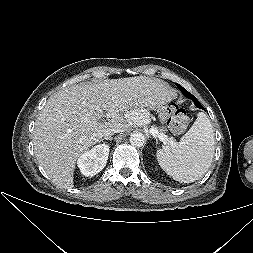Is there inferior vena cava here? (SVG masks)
<instances>
[{"label":"inferior vena cava","instance_id":"602c4592","mask_svg":"<svg viewBox=\"0 0 253 253\" xmlns=\"http://www.w3.org/2000/svg\"><path fill=\"white\" fill-rule=\"evenodd\" d=\"M118 132H121L120 129H112V130H108L104 133V137H108V136H111L113 135L114 133H118Z\"/></svg>","mask_w":253,"mask_h":253}]
</instances>
